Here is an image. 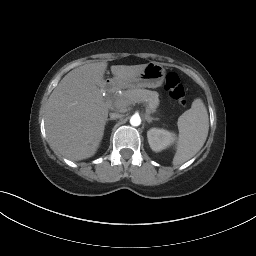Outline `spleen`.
I'll use <instances>...</instances> for the list:
<instances>
[{"instance_id":"obj_1","label":"spleen","mask_w":256,"mask_h":256,"mask_svg":"<svg viewBox=\"0 0 256 256\" xmlns=\"http://www.w3.org/2000/svg\"><path fill=\"white\" fill-rule=\"evenodd\" d=\"M179 136L173 165H180L192 158L204 145L208 136L209 118L200 98L192 102L189 110L178 119Z\"/></svg>"}]
</instances>
